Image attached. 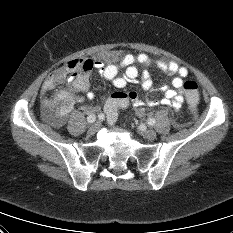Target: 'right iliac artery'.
I'll list each match as a JSON object with an SVG mask.
<instances>
[{"instance_id": "1", "label": "right iliac artery", "mask_w": 233, "mask_h": 233, "mask_svg": "<svg viewBox=\"0 0 233 233\" xmlns=\"http://www.w3.org/2000/svg\"><path fill=\"white\" fill-rule=\"evenodd\" d=\"M95 115L94 114H90L88 117H87V121L88 123H93L95 122Z\"/></svg>"}]
</instances>
